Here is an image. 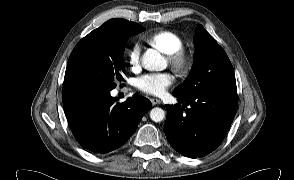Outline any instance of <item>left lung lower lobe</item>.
I'll return each instance as SVG.
<instances>
[{
  "mask_svg": "<svg viewBox=\"0 0 294 180\" xmlns=\"http://www.w3.org/2000/svg\"><path fill=\"white\" fill-rule=\"evenodd\" d=\"M178 104L166 105L164 133L180 154L197 158L214 151L223 141L237 111V96L222 93L173 92Z\"/></svg>",
  "mask_w": 294,
  "mask_h": 180,
  "instance_id": "left-lung-lower-lobe-1",
  "label": "left lung lower lobe"
}]
</instances>
